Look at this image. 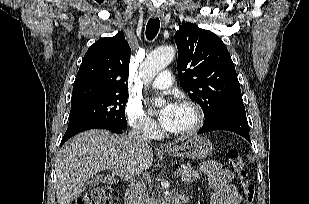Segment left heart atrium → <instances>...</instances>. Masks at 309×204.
Returning <instances> with one entry per match:
<instances>
[{"mask_svg": "<svg viewBox=\"0 0 309 204\" xmlns=\"http://www.w3.org/2000/svg\"><path fill=\"white\" fill-rule=\"evenodd\" d=\"M177 104L168 102L160 111L158 114L159 121L161 125L168 129L171 127V123L173 120V117L175 115L176 109H177Z\"/></svg>", "mask_w": 309, "mask_h": 204, "instance_id": "left-heart-atrium-1", "label": "left heart atrium"}]
</instances>
